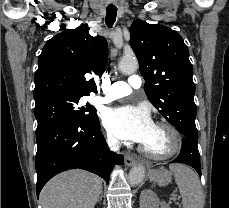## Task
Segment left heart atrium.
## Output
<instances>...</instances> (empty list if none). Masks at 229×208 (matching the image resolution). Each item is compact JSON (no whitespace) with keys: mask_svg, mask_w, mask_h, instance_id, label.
<instances>
[{"mask_svg":"<svg viewBox=\"0 0 229 208\" xmlns=\"http://www.w3.org/2000/svg\"><path fill=\"white\" fill-rule=\"evenodd\" d=\"M103 122L113 136L139 143L148 138L154 127L149 111L142 106L132 105L109 109Z\"/></svg>","mask_w":229,"mask_h":208,"instance_id":"left-heart-atrium-1","label":"left heart atrium"}]
</instances>
